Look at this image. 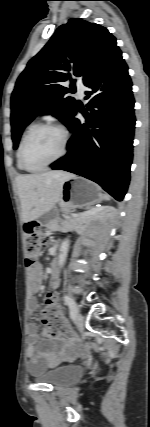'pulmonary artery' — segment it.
I'll return each instance as SVG.
<instances>
[{
    "instance_id": "obj_1",
    "label": "pulmonary artery",
    "mask_w": 150,
    "mask_h": 427,
    "mask_svg": "<svg viewBox=\"0 0 150 427\" xmlns=\"http://www.w3.org/2000/svg\"><path fill=\"white\" fill-rule=\"evenodd\" d=\"M76 88H77V94H78L79 98H83L84 92H85V87H84L83 83L81 81H77L76 82Z\"/></svg>"
}]
</instances>
